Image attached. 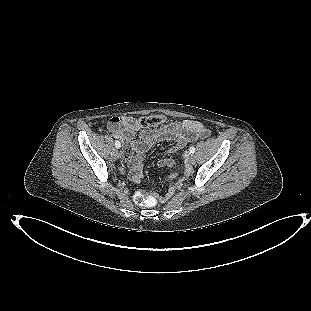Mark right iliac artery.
I'll return each mask as SVG.
<instances>
[{"label": "right iliac artery", "instance_id": "1", "mask_svg": "<svg viewBox=\"0 0 311 311\" xmlns=\"http://www.w3.org/2000/svg\"><path fill=\"white\" fill-rule=\"evenodd\" d=\"M115 146H116V148H120L121 147L120 142L119 141H115Z\"/></svg>", "mask_w": 311, "mask_h": 311}]
</instances>
